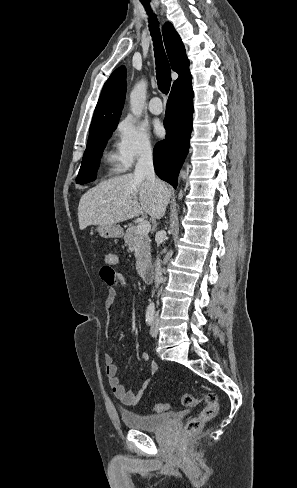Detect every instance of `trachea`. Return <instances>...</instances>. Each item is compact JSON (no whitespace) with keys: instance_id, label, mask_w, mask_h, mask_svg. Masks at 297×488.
Wrapping results in <instances>:
<instances>
[{"instance_id":"obj_1","label":"trachea","mask_w":297,"mask_h":488,"mask_svg":"<svg viewBox=\"0 0 297 488\" xmlns=\"http://www.w3.org/2000/svg\"><path fill=\"white\" fill-rule=\"evenodd\" d=\"M142 4L146 10H149L148 1H142ZM149 29L154 44L158 88L162 93L168 94L171 85V70L163 48L160 29L155 15L150 16Z\"/></svg>"}]
</instances>
